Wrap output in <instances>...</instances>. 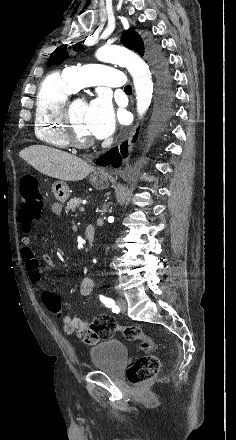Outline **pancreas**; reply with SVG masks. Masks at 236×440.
<instances>
[{"label":"pancreas","instance_id":"pancreas-1","mask_svg":"<svg viewBox=\"0 0 236 440\" xmlns=\"http://www.w3.org/2000/svg\"><path fill=\"white\" fill-rule=\"evenodd\" d=\"M81 202H82L81 198L70 199V201L67 203L65 212L69 213V211H75L76 207L79 206Z\"/></svg>","mask_w":236,"mask_h":440}]
</instances>
